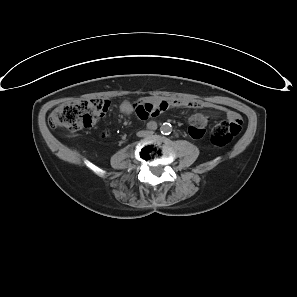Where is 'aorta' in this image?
Returning <instances> with one entry per match:
<instances>
[{
	"instance_id": "obj_1",
	"label": "aorta",
	"mask_w": 297,
	"mask_h": 297,
	"mask_svg": "<svg viewBox=\"0 0 297 297\" xmlns=\"http://www.w3.org/2000/svg\"><path fill=\"white\" fill-rule=\"evenodd\" d=\"M162 134H170L172 132V126L170 123H163L160 127Z\"/></svg>"
}]
</instances>
